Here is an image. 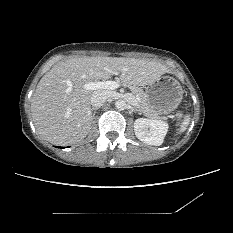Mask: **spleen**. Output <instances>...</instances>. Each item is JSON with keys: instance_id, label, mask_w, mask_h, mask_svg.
<instances>
[{"instance_id": "3e777b00", "label": "spleen", "mask_w": 233, "mask_h": 233, "mask_svg": "<svg viewBox=\"0 0 233 233\" xmlns=\"http://www.w3.org/2000/svg\"><path fill=\"white\" fill-rule=\"evenodd\" d=\"M190 122V115H186L181 123L179 132H184L187 129V126L189 125Z\"/></svg>"}]
</instances>
